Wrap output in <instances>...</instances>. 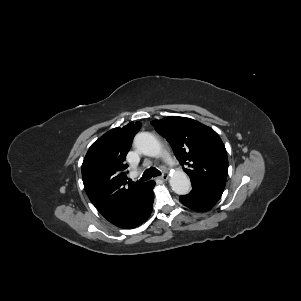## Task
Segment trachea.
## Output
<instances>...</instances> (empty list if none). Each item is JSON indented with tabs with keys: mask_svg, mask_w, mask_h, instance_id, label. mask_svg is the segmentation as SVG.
I'll return each mask as SVG.
<instances>
[{
	"mask_svg": "<svg viewBox=\"0 0 301 301\" xmlns=\"http://www.w3.org/2000/svg\"><path fill=\"white\" fill-rule=\"evenodd\" d=\"M161 172L158 171L155 168H149L147 170L144 171L142 177L139 179V181H147L149 179H151L152 177H156V176H160Z\"/></svg>",
	"mask_w": 301,
	"mask_h": 301,
	"instance_id": "3493384b",
	"label": "trachea"
}]
</instances>
